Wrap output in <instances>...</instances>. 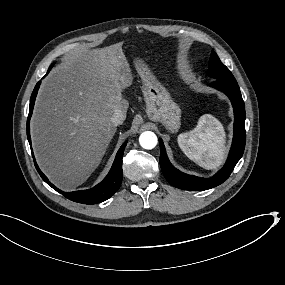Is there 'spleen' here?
<instances>
[{"label": "spleen", "mask_w": 285, "mask_h": 285, "mask_svg": "<svg viewBox=\"0 0 285 285\" xmlns=\"http://www.w3.org/2000/svg\"><path fill=\"white\" fill-rule=\"evenodd\" d=\"M225 132L221 123L210 114L201 116L197 127L178 136L184 154L205 169H216L225 157Z\"/></svg>", "instance_id": "1"}]
</instances>
